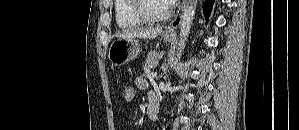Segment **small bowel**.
<instances>
[{
	"mask_svg": "<svg viewBox=\"0 0 299 130\" xmlns=\"http://www.w3.org/2000/svg\"><path fill=\"white\" fill-rule=\"evenodd\" d=\"M136 84L140 88H145L147 86V82L143 78H141V77H138L136 79Z\"/></svg>",
	"mask_w": 299,
	"mask_h": 130,
	"instance_id": "1",
	"label": "small bowel"
}]
</instances>
